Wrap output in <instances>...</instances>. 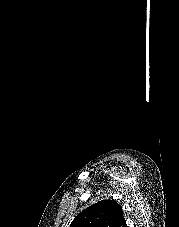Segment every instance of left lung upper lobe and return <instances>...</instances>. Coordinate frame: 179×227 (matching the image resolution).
Here are the masks:
<instances>
[{
    "mask_svg": "<svg viewBox=\"0 0 179 227\" xmlns=\"http://www.w3.org/2000/svg\"><path fill=\"white\" fill-rule=\"evenodd\" d=\"M70 227H127L121 206L114 200H101L83 210Z\"/></svg>",
    "mask_w": 179,
    "mask_h": 227,
    "instance_id": "5c2ea615",
    "label": "left lung upper lobe"
}]
</instances>
